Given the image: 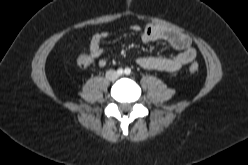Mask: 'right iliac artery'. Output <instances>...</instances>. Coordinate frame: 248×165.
<instances>
[{
    "mask_svg": "<svg viewBox=\"0 0 248 165\" xmlns=\"http://www.w3.org/2000/svg\"><path fill=\"white\" fill-rule=\"evenodd\" d=\"M117 73H118L119 75H122V74H123V69H121V68L118 69V70H117Z\"/></svg>",
    "mask_w": 248,
    "mask_h": 165,
    "instance_id": "1",
    "label": "right iliac artery"
}]
</instances>
